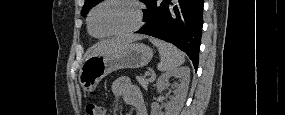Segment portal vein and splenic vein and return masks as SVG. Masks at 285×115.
<instances>
[{"label": "portal vein and splenic vein", "instance_id": "obj_1", "mask_svg": "<svg viewBox=\"0 0 285 115\" xmlns=\"http://www.w3.org/2000/svg\"><path fill=\"white\" fill-rule=\"evenodd\" d=\"M146 75H150L151 74V72L150 71H146V73H145Z\"/></svg>", "mask_w": 285, "mask_h": 115}]
</instances>
